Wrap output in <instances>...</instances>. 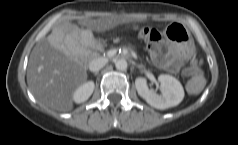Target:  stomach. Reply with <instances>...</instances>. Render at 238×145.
I'll return each instance as SVG.
<instances>
[{"instance_id":"0dacf381","label":"stomach","mask_w":238,"mask_h":145,"mask_svg":"<svg viewBox=\"0 0 238 145\" xmlns=\"http://www.w3.org/2000/svg\"><path fill=\"white\" fill-rule=\"evenodd\" d=\"M166 31L169 41L174 44L181 56L190 58L197 54L199 46L193 34L178 21H169Z\"/></svg>"}]
</instances>
